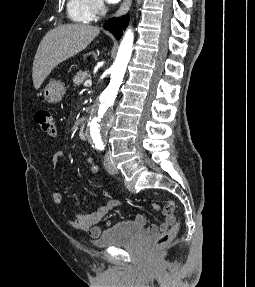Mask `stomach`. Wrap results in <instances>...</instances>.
Here are the masks:
<instances>
[{"label":"stomach","mask_w":255,"mask_h":287,"mask_svg":"<svg viewBox=\"0 0 255 287\" xmlns=\"http://www.w3.org/2000/svg\"><path fill=\"white\" fill-rule=\"evenodd\" d=\"M65 92V86H63L62 82H49L43 92L44 100L48 104H58V102H61Z\"/></svg>","instance_id":"stomach-1"}]
</instances>
